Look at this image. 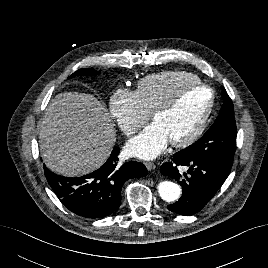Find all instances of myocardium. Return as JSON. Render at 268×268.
Wrapping results in <instances>:
<instances>
[{
	"label": "myocardium",
	"instance_id": "myocardium-1",
	"mask_svg": "<svg viewBox=\"0 0 268 268\" xmlns=\"http://www.w3.org/2000/svg\"><path fill=\"white\" fill-rule=\"evenodd\" d=\"M196 87H201V88H205V89L209 90L210 99H209L208 104L205 107L199 121L194 126V128L185 137H183L179 140L170 141V144L174 147L188 146L192 142H194L197 139V137L201 134V132L203 131L204 127L206 126V124L209 120V117H210L212 110H213V107H214L215 93H214L213 89L209 85H207L201 81L183 84L176 89V91L167 99L166 102H164L161 106H159L158 108H156L152 112V119L156 120V118L170 112L177 105V103L180 100L181 94L185 90L190 89V88H196Z\"/></svg>",
	"mask_w": 268,
	"mask_h": 268
}]
</instances>
